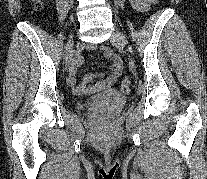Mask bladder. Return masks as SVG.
I'll return each mask as SVG.
<instances>
[{
    "label": "bladder",
    "instance_id": "31cf9c89",
    "mask_svg": "<svg viewBox=\"0 0 207 179\" xmlns=\"http://www.w3.org/2000/svg\"><path fill=\"white\" fill-rule=\"evenodd\" d=\"M78 108H79L80 110H84V107H83L82 105H79Z\"/></svg>",
    "mask_w": 207,
    "mask_h": 179
}]
</instances>
